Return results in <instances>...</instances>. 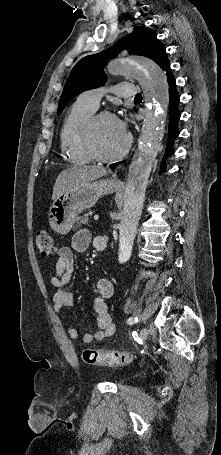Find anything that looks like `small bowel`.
<instances>
[{
  "label": "small bowel",
  "mask_w": 221,
  "mask_h": 455,
  "mask_svg": "<svg viewBox=\"0 0 221 455\" xmlns=\"http://www.w3.org/2000/svg\"><path fill=\"white\" fill-rule=\"evenodd\" d=\"M98 237L92 238L89 231L81 229L73 235L70 247L62 246L57 249L55 271L49 273V280L54 288L53 309L56 313H59L63 307L71 306L74 303L73 293L65 289L74 269V253L85 251L90 243L95 247V241ZM94 293L93 309L97 315L98 330L83 335L82 342L85 345L104 340L113 335L115 331L107 303V300L114 294L112 282L108 279L97 280L94 285ZM67 331L71 339L77 340L79 338L78 331L75 328L69 327Z\"/></svg>",
  "instance_id": "small-bowel-1"
}]
</instances>
